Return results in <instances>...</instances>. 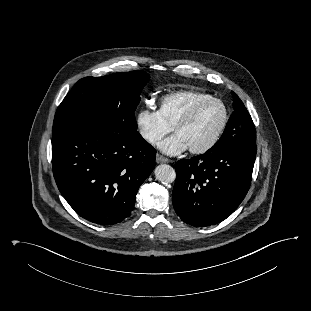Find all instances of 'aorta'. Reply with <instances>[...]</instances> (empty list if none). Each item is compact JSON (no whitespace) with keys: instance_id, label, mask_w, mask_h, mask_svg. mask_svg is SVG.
Instances as JSON below:
<instances>
[{"instance_id":"aorta-1","label":"aorta","mask_w":311,"mask_h":311,"mask_svg":"<svg viewBox=\"0 0 311 311\" xmlns=\"http://www.w3.org/2000/svg\"><path fill=\"white\" fill-rule=\"evenodd\" d=\"M155 177L161 183H172L175 181L176 173L170 165L161 164L155 168Z\"/></svg>"}]
</instances>
